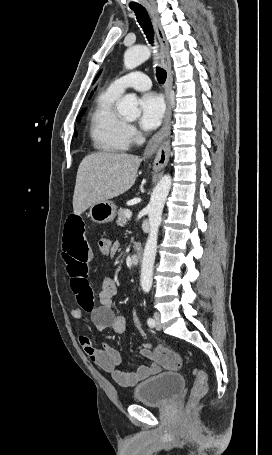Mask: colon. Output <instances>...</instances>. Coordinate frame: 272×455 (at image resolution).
<instances>
[{"instance_id":"5ec220e1","label":"colon","mask_w":272,"mask_h":455,"mask_svg":"<svg viewBox=\"0 0 272 455\" xmlns=\"http://www.w3.org/2000/svg\"><path fill=\"white\" fill-rule=\"evenodd\" d=\"M111 241L107 237H101L98 242V249L102 257L109 256ZM154 358L156 361L162 365L164 368L169 370H178L181 367V358L173 350L166 348L164 346H158L154 350ZM195 382L191 391L190 402L195 404L201 398L205 396L208 389V379L207 374L202 369H193L192 370Z\"/></svg>"}]
</instances>
